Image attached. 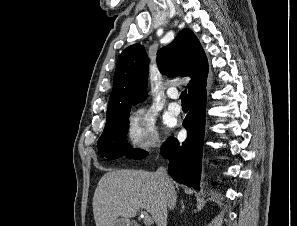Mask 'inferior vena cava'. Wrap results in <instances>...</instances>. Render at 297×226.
<instances>
[{"mask_svg":"<svg viewBox=\"0 0 297 226\" xmlns=\"http://www.w3.org/2000/svg\"><path fill=\"white\" fill-rule=\"evenodd\" d=\"M156 176L166 191L167 206L170 210L174 209L176 205L177 194L173 182L168 175L167 169L163 166L159 167L156 171Z\"/></svg>","mask_w":297,"mask_h":226,"instance_id":"obj_1","label":"inferior vena cava"}]
</instances>
